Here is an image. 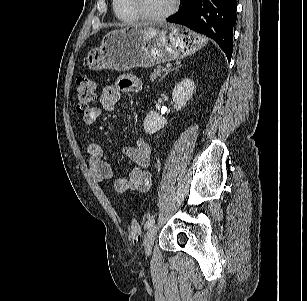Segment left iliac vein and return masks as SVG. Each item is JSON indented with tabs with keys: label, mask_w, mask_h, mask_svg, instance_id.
Returning <instances> with one entry per match:
<instances>
[{
	"label": "left iliac vein",
	"mask_w": 307,
	"mask_h": 301,
	"mask_svg": "<svg viewBox=\"0 0 307 301\" xmlns=\"http://www.w3.org/2000/svg\"><path fill=\"white\" fill-rule=\"evenodd\" d=\"M156 234H157V227L152 226L151 228H149V230L146 232L144 236L143 245L146 256H149L152 252Z\"/></svg>",
	"instance_id": "obj_1"
}]
</instances>
